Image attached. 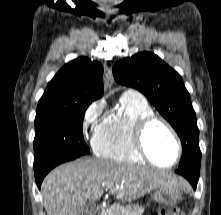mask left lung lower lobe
Masks as SVG:
<instances>
[{
  "label": "left lung lower lobe",
  "instance_id": "obj_1",
  "mask_svg": "<svg viewBox=\"0 0 221 215\" xmlns=\"http://www.w3.org/2000/svg\"><path fill=\"white\" fill-rule=\"evenodd\" d=\"M176 173L185 177L190 182L194 190L196 189L199 179V171L191 169H178L176 170Z\"/></svg>",
  "mask_w": 221,
  "mask_h": 215
}]
</instances>
